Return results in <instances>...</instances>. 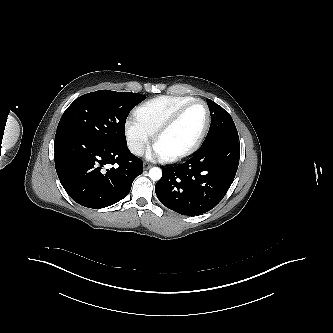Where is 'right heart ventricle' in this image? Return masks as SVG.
<instances>
[{"label":"right heart ventricle","instance_id":"e07e8e85","mask_svg":"<svg viewBox=\"0 0 333 333\" xmlns=\"http://www.w3.org/2000/svg\"><path fill=\"white\" fill-rule=\"evenodd\" d=\"M193 97L162 95L142 103L135 110V118L151 133L156 130L182 105Z\"/></svg>","mask_w":333,"mask_h":333}]
</instances>
